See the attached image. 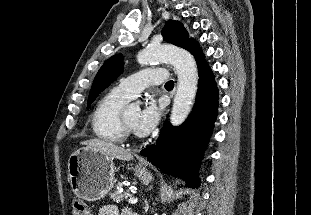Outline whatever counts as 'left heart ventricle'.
Wrapping results in <instances>:
<instances>
[{"instance_id":"1","label":"left heart ventricle","mask_w":311,"mask_h":215,"mask_svg":"<svg viewBox=\"0 0 311 215\" xmlns=\"http://www.w3.org/2000/svg\"><path fill=\"white\" fill-rule=\"evenodd\" d=\"M140 108L138 106H130L126 109V120L129 123V125L134 127V123L139 115Z\"/></svg>"}]
</instances>
